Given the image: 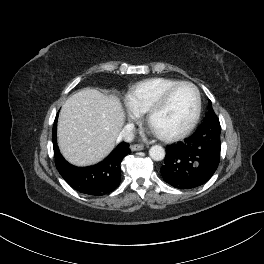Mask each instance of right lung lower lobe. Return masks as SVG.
<instances>
[{"mask_svg": "<svg viewBox=\"0 0 264 264\" xmlns=\"http://www.w3.org/2000/svg\"><path fill=\"white\" fill-rule=\"evenodd\" d=\"M57 117L52 131L55 165L63 179L75 190L101 196L113 191L120 184L121 162L131 151L129 144L121 142L102 162L89 167H76L61 155L56 139Z\"/></svg>", "mask_w": 264, "mask_h": 264, "instance_id": "right-lung-lower-lobe-1", "label": "right lung lower lobe"}]
</instances>
